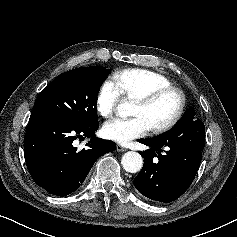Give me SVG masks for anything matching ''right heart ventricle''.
I'll return each mask as SVG.
<instances>
[{"label": "right heart ventricle", "mask_w": 237, "mask_h": 237, "mask_svg": "<svg viewBox=\"0 0 237 237\" xmlns=\"http://www.w3.org/2000/svg\"><path fill=\"white\" fill-rule=\"evenodd\" d=\"M114 82L128 99L136 100L140 96L161 87L172 86L164 75L146 69H126L114 74Z\"/></svg>", "instance_id": "right-heart-ventricle-1"}]
</instances>
